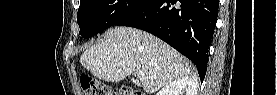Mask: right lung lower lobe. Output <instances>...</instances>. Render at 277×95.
<instances>
[{
	"label": "right lung lower lobe",
	"mask_w": 277,
	"mask_h": 95,
	"mask_svg": "<svg viewBox=\"0 0 277 95\" xmlns=\"http://www.w3.org/2000/svg\"><path fill=\"white\" fill-rule=\"evenodd\" d=\"M219 0H143L116 25L147 31L189 58L203 81Z\"/></svg>",
	"instance_id": "98d812e1"
}]
</instances>
